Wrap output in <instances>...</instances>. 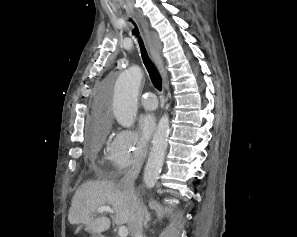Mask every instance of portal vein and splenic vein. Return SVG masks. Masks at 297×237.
Returning a JSON list of instances; mask_svg holds the SVG:
<instances>
[{
  "label": "portal vein and splenic vein",
  "instance_id": "1",
  "mask_svg": "<svg viewBox=\"0 0 297 237\" xmlns=\"http://www.w3.org/2000/svg\"><path fill=\"white\" fill-rule=\"evenodd\" d=\"M98 213L108 212L110 214H113L114 211L109 206H102L97 209ZM118 235L120 237H127L128 236V229L126 226H120L118 230Z\"/></svg>",
  "mask_w": 297,
  "mask_h": 237
}]
</instances>
